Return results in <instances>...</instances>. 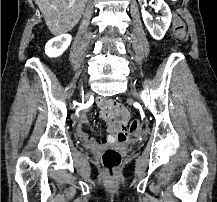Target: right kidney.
Listing matches in <instances>:
<instances>
[{"label":"right kidney","mask_w":217,"mask_h":202,"mask_svg":"<svg viewBox=\"0 0 217 202\" xmlns=\"http://www.w3.org/2000/svg\"><path fill=\"white\" fill-rule=\"evenodd\" d=\"M72 38L70 34H63V36H57V38H52L49 40L45 46V54L49 56V58H57V56H61L65 50H67L68 46H70Z\"/></svg>","instance_id":"right-kidney-1"}]
</instances>
